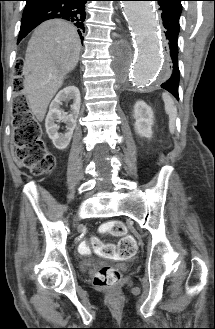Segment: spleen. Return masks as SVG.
Segmentation results:
<instances>
[{
	"label": "spleen",
	"instance_id": "obj_1",
	"mask_svg": "<svg viewBox=\"0 0 215 329\" xmlns=\"http://www.w3.org/2000/svg\"><path fill=\"white\" fill-rule=\"evenodd\" d=\"M162 98L165 104V111L169 116V129L173 134L175 131V120L177 116V108L174 104V100L168 93H163Z\"/></svg>",
	"mask_w": 215,
	"mask_h": 329
}]
</instances>
